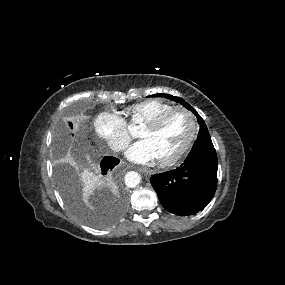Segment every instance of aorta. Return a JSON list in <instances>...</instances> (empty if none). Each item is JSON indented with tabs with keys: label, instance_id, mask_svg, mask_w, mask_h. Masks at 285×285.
<instances>
[{
	"label": "aorta",
	"instance_id": "aorta-1",
	"mask_svg": "<svg viewBox=\"0 0 285 285\" xmlns=\"http://www.w3.org/2000/svg\"><path fill=\"white\" fill-rule=\"evenodd\" d=\"M141 181V177L137 172H128L125 176V183L129 187L137 186Z\"/></svg>",
	"mask_w": 285,
	"mask_h": 285
}]
</instances>
